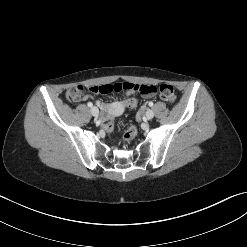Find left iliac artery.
Listing matches in <instances>:
<instances>
[{"instance_id":"obj_1","label":"left iliac artery","mask_w":247,"mask_h":247,"mask_svg":"<svg viewBox=\"0 0 247 247\" xmlns=\"http://www.w3.org/2000/svg\"><path fill=\"white\" fill-rule=\"evenodd\" d=\"M149 106L152 107L153 106V102H149Z\"/></svg>"}]
</instances>
